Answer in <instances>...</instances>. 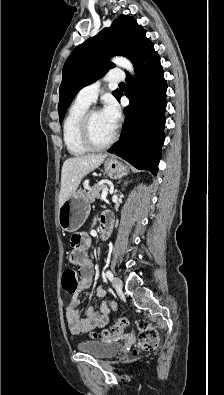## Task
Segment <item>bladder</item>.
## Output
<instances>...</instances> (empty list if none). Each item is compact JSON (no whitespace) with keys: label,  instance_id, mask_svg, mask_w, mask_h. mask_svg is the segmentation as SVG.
<instances>
[{"label":"bladder","instance_id":"bladder-1","mask_svg":"<svg viewBox=\"0 0 224 395\" xmlns=\"http://www.w3.org/2000/svg\"><path fill=\"white\" fill-rule=\"evenodd\" d=\"M78 350L90 354L97 359H107L115 356L120 346L118 342L84 340L78 343Z\"/></svg>","mask_w":224,"mask_h":395}]
</instances>
